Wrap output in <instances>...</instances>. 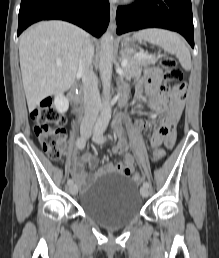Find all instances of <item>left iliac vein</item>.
<instances>
[{
  "label": "left iliac vein",
  "mask_w": 219,
  "mask_h": 258,
  "mask_svg": "<svg viewBox=\"0 0 219 258\" xmlns=\"http://www.w3.org/2000/svg\"><path fill=\"white\" fill-rule=\"evenodd\" d=\"M140 193H141V195H142V197H148L149 196V190H148V188L147 187H141V189H140Z\"/></svg>",
  "instance_id": "4c4485c4"
}]
</instances>
